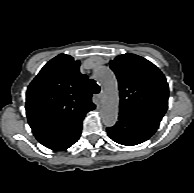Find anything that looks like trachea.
Returning <instances> with one entry per match:
<instances>
[{
  "label": "trachea",
  "mask_w": 194,
  "mask_h": 193,
  "mask_svg": "<svg viewBox=\"0 0 194 193\" xmlns=\"http://www.w3.org/2000/svg\"><path fill=\"white\" fill-rule=\"evenodd\" d=\"M88 86L92 93L97 94L100 92V86L93 79L89 80Z\"/></svg>",
  "instance_id": "1"
}]
</instances>
